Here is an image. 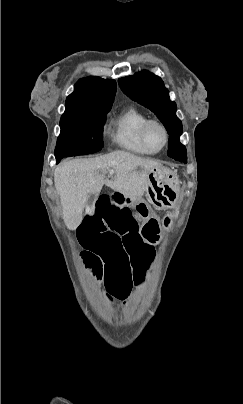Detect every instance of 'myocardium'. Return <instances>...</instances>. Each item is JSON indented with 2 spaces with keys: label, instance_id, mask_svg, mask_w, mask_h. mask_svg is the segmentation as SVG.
<instances>
[{
  "label": "myocardium",
  "instance_id": "obj_1",
  "mask_svg": "<svg viewBox=\"0 0 243 404\" xmlns=\"http://www.w3.org/2000/svg\"><path fill=\"white\" fill-rule=\"evenodd\" d=\"M152 124L158 125L163 133H164V143L161 147L159 148H154L151 143L149 142L147 135H146V131L148 129V127ZM139 135H140V139L141 141L148 147L155 149L156 151H161L163 150L169 143L170 141V132L168 130V127L166 126V124L161 121L160 119L157 118H147L143 121V123L141 124L140 128H139Z\"/></svg>",
  "mask_w": 243,
  "mask_h": 404
}]
</instances>
